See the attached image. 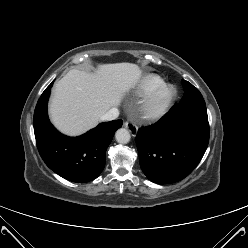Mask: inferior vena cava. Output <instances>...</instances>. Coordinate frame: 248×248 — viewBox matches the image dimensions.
<instances>
[{
    "label": "inferior vena cava",
    "mask_w": 248,
    "mask_h": 248,
    "mask_svg": "<svg viewBox=\"0 0 248 248\" xmlns=\"http://www.w3.org/2000/svg\"><path fill=\"white\" fill-rule=\"evenodd\" d=\"M119 116V111L117 108L109 109L105 114H103L100 118L102 121H111L116 119Z\"/></svg>",
    "instance_id": "inferior-vena-cava-1"
}]
</instances>
